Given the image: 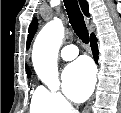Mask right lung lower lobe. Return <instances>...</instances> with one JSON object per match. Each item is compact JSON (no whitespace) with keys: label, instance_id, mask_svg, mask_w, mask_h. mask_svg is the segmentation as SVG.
I'll return each instance as SVG.
<instances>
[{"label":"right lung lower lobe","instance_id":"obj_1","mask_svg":"<svg viewBox=\"0 0 121 113\" xmlns=\"http://www.w3.org/2000/svg\"><path fill=\"white\" fill-rule=\"evenodd\" d=\"M91 49L93 52V57L95 62L98 60V46H97V39L94 34L91 35Z\"/></svg>","mask_w":121,"mask_h":113}]
</instances>
